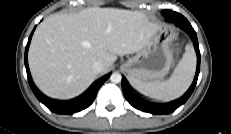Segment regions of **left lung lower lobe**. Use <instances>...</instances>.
<instances>
[{"label":"left lung lower lobe","mask_w":231,"mask_h":134,"mask_svg":"<svg viewBox=\"0 0 231 134\" xmlns=\"http://www.w3.org/2000/svg\"><path fill=\"white\" fill-rule=\"evenodd\" d=\"M167 19L169 21L177 22L178 26L182 27L191 35L197 51V69L193 83L188 89V91L181 98L166 104L151 103L141 99L140 97H138L130 91L125 81L122 79V90L128 102L136 109L152 114H169L175 111L179 106L184 104L195 88L200 71V52L196 32L194 31L188 20L179 13L174 12V14L170 15V17Z\"/></svg>","instance_id":"0a47b994"}]
</instances>
